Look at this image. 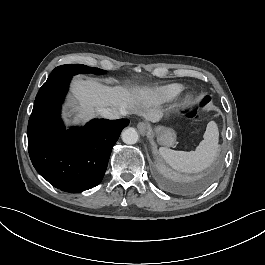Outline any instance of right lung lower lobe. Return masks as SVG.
<instances>
[{
	"label": "right lung lower lobe",
	"mask_w": 265,
	"mask_h": 265,
	"mask_svg": "<svg viewBox=\"0 0 265 265\" xmlns=\"http://www.w3.org/2000/svg\"><path fill=\"white\" fill-rule=\"evenodd\" d=\"M72 76L46 81L29 119L30 159L37 172L54 187L78 193L98 185L111 150L127 119H95L82 128L65 127L60 109Z\"/></svg>",
	"instance_id": "right-lung-lower-lobe-1"
}]
</instances>
